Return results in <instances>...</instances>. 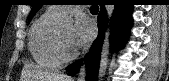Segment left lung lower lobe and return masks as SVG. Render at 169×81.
<instances>
[{
    "instance_id": "left-lung-lower-lobe-1",
    "label": "left lung lower lobe",
    "mask_w": 169,
    "mask_h": 81,
    "mask_svg": "<svg viewBox=\"0 0 169 81\" xmlns=\"http://www.w3.org/2000/svg\"><path fill=\"white\" fill-rule=\"evenodd\" d=\"M115 4V10L111 22V48L117 50L123 46L128 38L129 30L132 24L131 13L133 5L126 3V1H119ZM101 11L98 15L99 35L94 41L90 53L85 57L87 64V81H96L99 67L100 50L103 42V32L106 27L107 16L104 4H101ZM82 60H78L69 65L66 69L70 74H75L79 71Z\"/></svg>"
}]
</instances>
